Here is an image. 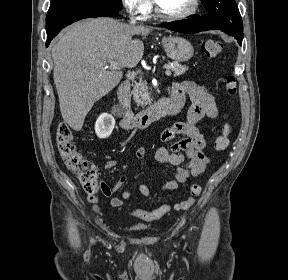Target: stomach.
Returning <instances> with one entry per match:
<instances>
[{
	"label": "stomach",
	"mask_w": 288,
	"mask_h": 280,
	"mask_svg": "<svg viewBox=\"0 0 288 280\" xmlns=\"http://www.w3.org/2000/svg\"><path fill=\"white\" fill-rule=\"evenodd\" d=\"M162 45L167 55L176 62H186L194 55L192 44L183 37H164L162 39Z\"/></svg>",
	"instance_id": "1"
}]
</instances>
